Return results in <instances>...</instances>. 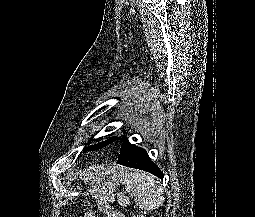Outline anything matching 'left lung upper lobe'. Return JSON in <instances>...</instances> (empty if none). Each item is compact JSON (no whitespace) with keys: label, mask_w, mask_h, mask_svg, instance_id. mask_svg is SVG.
Masks as SVG:
<instances>
[{"label":"left lung upper lobe","mask_w":255,"mask_h":217,"mask_svg":"<svg viewBox=\"0 0 255 217\" xmlns=\"http://www.w3.org/2000/svg\"><path fill=\"white\" fill-rule=\"evenodd\" d=\"M115 140H117V137H110L109 139H107L106 141L100 142L98 144H94L88 147H85L83 150L84 151H94V150H98L100 148L105 147L106 145H109L111 143H113Z\"/></svg>","instance_id":"5c2ea615"}]
</instances>
